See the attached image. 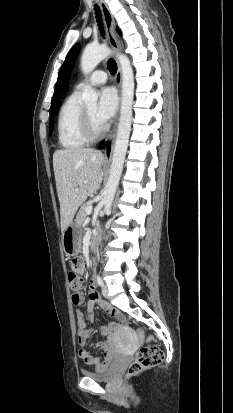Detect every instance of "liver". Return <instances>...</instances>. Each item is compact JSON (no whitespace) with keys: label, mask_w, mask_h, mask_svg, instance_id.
Instances as JSON below:
<instances>
[{"label":"liver","mask_w":233,"mask_h":413,"mask_svg":"<svg viewBox=\"0 0 233 413\" xmlns=\"http://www.w3.org/2000/svg\"><path fill=\"white\" fill-rule=\"evenodd\" d=\"M103 158L100 151L92 148L57 150L53 154L63 231L72 223L87 197L99 188L103 179Z\"/></svg>","instance_id":"liver-1"}]
</instances>
